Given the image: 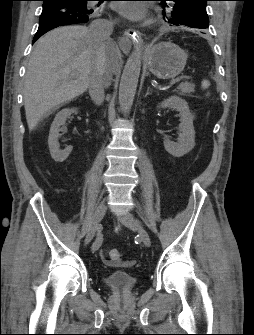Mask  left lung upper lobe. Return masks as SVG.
I'll use <instances>...</instances> for the list:
<instances>
[{
	"mask_svg": "<svg viewBox=\"0 0 254 335\" xmlns=\"http://www.w3.org/2000/svg\"><path fill=\"white\" fill-rule=\"evenodd\" d=\"M168 22L183 27L208 28L206 3L209 0H159Z\"/></svg>",
	"mask_w": 254,
	"mask_h": 335,
	"instance_id": "obj_1",
	"label": "left lung upper lobe"
}]
</instances>
